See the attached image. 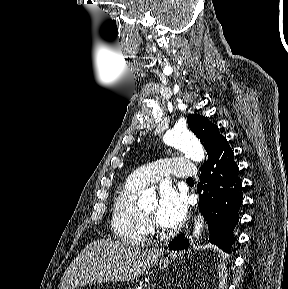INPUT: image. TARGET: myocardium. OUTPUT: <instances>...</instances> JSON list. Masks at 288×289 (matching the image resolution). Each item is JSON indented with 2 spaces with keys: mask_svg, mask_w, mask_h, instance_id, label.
<instances>
[{
  "mask_svg": "<svg viewBox=\"0 0 288 289\" xmlns=\"http://www.w3.org/2000/svg\"><path fill=\"white\" fill-rule=\"evenodd\" d=\"M140 213H141V216L143 217V219L146 221V222H151L152 221V218L147 216L143 211L140 210Z\"/></svg>",
  "mask_w": 288,
  "mask_h": 289,
  "instance_id": "f54148a6",
  "label": "myocardium"
}]
</instances>
